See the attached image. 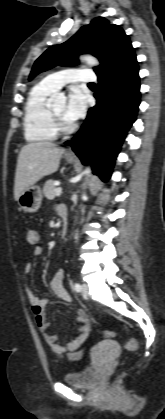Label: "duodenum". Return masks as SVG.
Returning <instances> with one entry per match:
<instances>
[{
  "label": "duodenum",
  "instance_id": "obj_1",
  "mask_svg": "<svg viewBox=\"0 0 165 419\" xmlns=\"http://www.w3.org/2000/svg\"><path fill=\"white\" fill-rule=\"evenodd\" d=\"M59 214H60V218H61V221H62L60 234H61L62 237H64L67 233V228H68L67 214H66V211L63 210V209H61L59 211Z\"/></svg>",
  "mask_w": 165,
  "mask_h": 419
}]
</instances>
